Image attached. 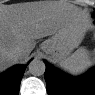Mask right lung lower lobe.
I'll use <instances>...</instances> for the list:
<instances>
[{
  "instance_id": "right-lung-lower-lobe-1",
  "label": "right lung lower lobe",
  "mask_w": 95,
  "mask_h": 95,
  "mask_svg": "<svg viewBox=\"0 0 95 95\" xmlns=\"http://www.w3.org/2000/svg\"><path fill=\"white\" fill-rule=\"evenodd\" d=\"M25 68V66L16 65L1 75V87L5 88L8 94H17L19 92L20 81Z\"/></svg>"
}]
</instances>
